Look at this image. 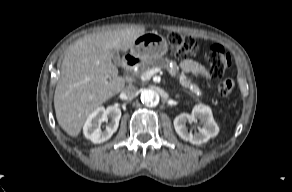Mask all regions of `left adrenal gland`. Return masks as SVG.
<instances>
[{"label":"left adrenal gland","instance_id":"obj_1","mask_svg":"<svg viewBox=\"0 0 292 192\" xmlns=\"http://www.w3.org/2000/svg\"><path fill=\"white\" fill-rule=\"evenodd\" d=\"M179 97V95H176V98H178Z\"/></svg>","mask_w":292,"mask_h":192}]
</instances>
